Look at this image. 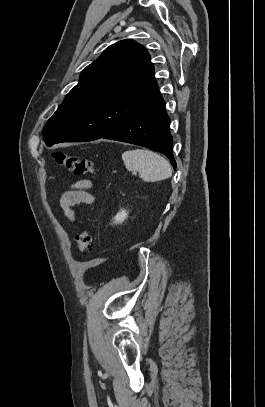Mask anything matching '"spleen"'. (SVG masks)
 <instances>
[{
  "label": "spleen",
  "instance_id": "obj_1",
  "mask_svg": "<svg viewBox=\"0 0 265 407\" xmlns=\"http://www.w3.org/2000/svg\"><path fill=\"white\" fill-rule=\"evenodd\" d=\"M122 160L129 171H137L147 182L165 180L172 175L170 163L159 154L146 149L125 151Z\"/></svg>",
  "mask_w": 265,
  "mask_h": 407
}]
</instances>
